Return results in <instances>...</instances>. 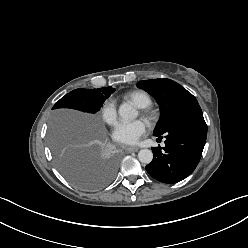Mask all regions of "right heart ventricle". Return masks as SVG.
Listing matches in <instances>:
<instances>
[{
	"mask_svg": "<svg viewBox=\"0 0 248 248\" xmlns=\"http://www.w3.org/2000/svg\"><path fill=\"white\" fill-rule=\"evenodd\" d=\"M126 97L134 102L139 108H148L152 104L151 96L142 90L130 91L126 94Z\"/></svg>",
	"mask_w": 248,
	"mask_h": 248,
	"instance_id": "1",
	"label": "right heart ventricle"
}]
</instances>
